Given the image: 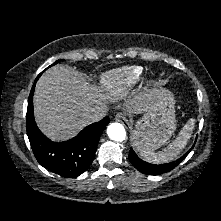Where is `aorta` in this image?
<instances>
[{
    "instance_id": "1",
    "label": "aorta",
    "mask_w": 221,
    "mask_h": 221,
    "mask_svg": "<svg viewBox=\"0 0 221 221\" xmlns=\"http://www.w3.org/2000/svg\"><path fill=\"white\" fill-rule=\"evenodd\" d=\"M107 134L110 139L122 142L126 139V131L122 124L114 122L107 127Z\"/></svg>"
}]
</instances>
